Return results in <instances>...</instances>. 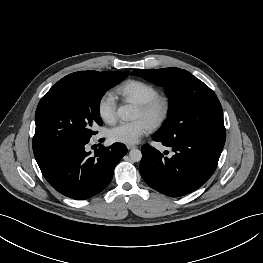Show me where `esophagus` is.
<instances>
[{
	"label": "esophagus",
	"instance_id": "esophagus-1",
	"mask_svg": "<svg viewBox=\"0 0 263 263\" xmlns=\"http://www.w3.org/2000/svg\"><path fill=\"white\" fill-rule=\"evenodd\" d=\"M134 148H137V146H135V145H127V149L128 150H131V149H134Z\"/></svg>",
	"mask_w": 263,
	"mask_h": 263
}]
</instances>
